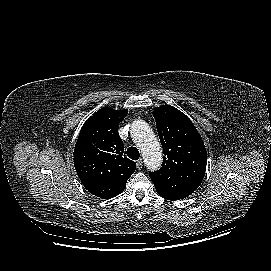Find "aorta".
<instances>
[{
  "mask_svg": "<svg viewBox=\"0 0 271 271\" xmlns=\"http://www.w3.org/2000/svg\"><path fill=\"white\" fill-rule=\"evenodd\" d=\"M130 133L142 152L145 166L151 171L159 169L162 163V149L148 123L142 120L134 121Z\"/></svg>",
  "mask_w": 271,
  "mask_h": 271,
  "instance_id": "1",
  "label": "aorta"
}]
</instances>
